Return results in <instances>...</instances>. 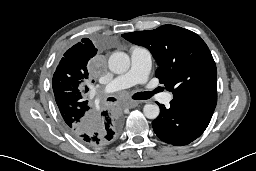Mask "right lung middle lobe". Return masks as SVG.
Segmentation results:
<instances>
[{
    "mask_svg": "<svg viewBox=\"0 0 256 171\" xmlns=\"http://www.w3.org/2000/svg\"><path fill=\"white\" fill-rule=\"evenodd\" d=\"M57 77L62 89L70 97H76L81 101H87V89L81 84L82 78H78V74L73 64L67 60H61L56 68ZM55 76V75H54Z\"/></svg>",
    "mask_w": 256,
    "mask_h": 171,
    "instance_id": "right-lung-middle-lobe-1",
    "label": "right lung middle lobe"
}]
</instances>
